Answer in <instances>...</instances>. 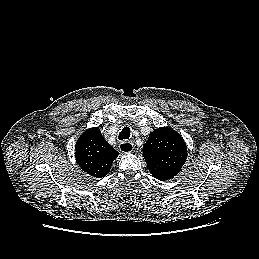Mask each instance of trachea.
<instances>
[{"label":"trachea","instance_id":"obj_1","mask_svg":"<svg viewBox=\"0 0 259 259\" xmlns=\"http://www.w3.org/2000/svg\"><path fill=\"white\" fill-rule=\"evenodd\" d=\"M130 128L125 126L122 131L119 133L118 139L119 140H126L130 137Z\"/></svg>","mask_w":259,"mask_h":259}]
</instances>
